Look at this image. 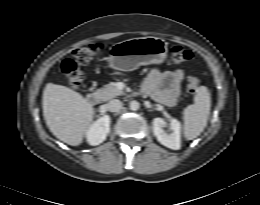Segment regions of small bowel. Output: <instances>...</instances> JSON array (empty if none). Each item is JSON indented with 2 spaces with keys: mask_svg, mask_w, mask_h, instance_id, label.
<instances>
[{
  "mask_svg": "<svg viewBox=\"0 0 260 205\" xmlns=\"http://www.w3.org/2000/svg\"><path fill=\"white\" fill-rule=\"evenodd\" d=\"M184 75L185 73L182 69L165 72L152 69L147 75L143 91L162 104L170 107L175 106Z\"/></svg>",
  "mask_w": 260,
  "mask_h": 205,
  "instance_id": "small-bowel-1",
  "label": "small bowel"
}]
</instances>
